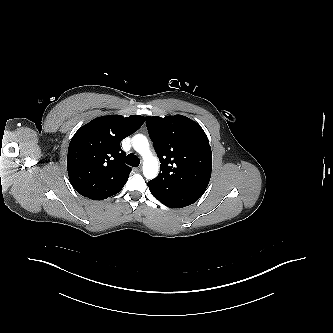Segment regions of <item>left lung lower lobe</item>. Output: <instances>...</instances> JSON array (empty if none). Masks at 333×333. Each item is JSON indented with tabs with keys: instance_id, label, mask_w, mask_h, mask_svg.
I'll list each match as a JSON object with an SVG mask.
<instances>
[{
	"instance_id": "obj_1",
	"label": "left lung lower lobe",
	"mask_w": 333,
	"mask_h": 333,
	"mask_svg": "<svg viewBox=\"0 0 333 333\" xmlns=\"http://www.w3.org/2000/svg\"><path fill=\"white\" fill-rule=\"evenodd\" d=\"M149 189L153 196L170 208H182L195 203L200 197L185 195L179 192H164L163 195L156 193L150 185Z\"/></svg>"
}]
</instances>
